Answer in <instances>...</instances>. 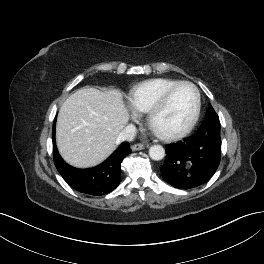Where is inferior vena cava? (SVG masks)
Returning a JSON list of instances; mask_svg holds the SVG:
<instances>
[{"label":"inferior vena cava","instance_id":"inferior-vena-cava-1","mask_svg":"<svg viewBox=\"0 0 264 264\" xmlns=\"http://www.w3.org/2000/svg\"><path fill=\"white\" fill-rule=\"evenodd\" d=\"M136 134V128L134 125L130 124L126 126L117 136L116 144H120L124 141H133Z\"/></svg>","mask_w":264,"mask_h":264}]
</instances>
